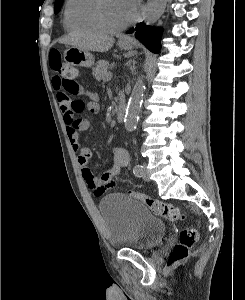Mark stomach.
Here are the masks:
<instances>
[{
    "mask_svg": "<svg viewBox=\"0 0 245 300\" xmlns=\"http://www.w3.org/2000/svg\"><path fill=\"white\" fill-rule=\"evenodd\" d=\"M119 46L124 50L132 49V43L130 41H120ZM64 60L77 67L89 68L94 64V56L89 51L77 47L67 48L64 52Z\"/></svg>",
    "mask_w": 245,
    "mask_h": 300,
    "instance_id": "obj_1",
    "label": "stomach"
}]
</instances>
